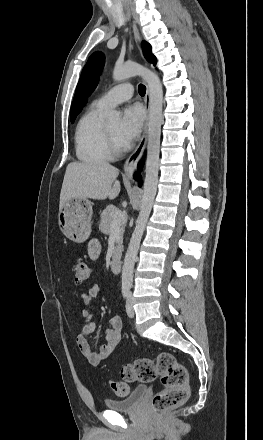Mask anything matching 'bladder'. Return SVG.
<instances>
[{
  "label": "bladder",
  "instance_id": "1",
  "mask_svg": "<svg viewBox=\"0 0 263 440\" xmlns=\"http://www.w3.org/2000/svg\"><path fill=\"white\" fill-rule=\"evenodd\" d=\"M147 391V386H137L125 398L105 400L104 406L109 410L117 412L134 411L139 406Z\"/></svg>",
  "mask_w": 263,
  "mask_h": 440
}]
</instances>
